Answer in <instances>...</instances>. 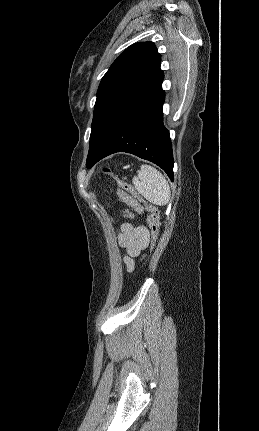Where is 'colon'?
Instances as JSON below:
<instances>
[{"instance_id":"obj_1","label":"colon","mask_w":259,"mask_h":431,"mask_svg":"<svg viewBox=\"0 0 259 431\" xmlns=\"http://www.w3.org/2000/svg\"><path fill=\"white\" fill-rule=\"evenodd\" d=\"M103 171L108 172V169L104 168ZM117 180L120 187L118 191L119 198L126 204L133 207L129 208L128 211H123L125 217L140 219L141 213L148 212V225L151 233V248L154 249L159 237V209L155 205L150 204L141 198L128 182L121 178H117ZM118 211H121V208H118Z\"/></svg>"}]
</instances>
